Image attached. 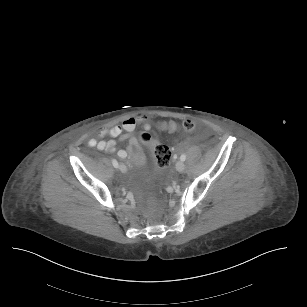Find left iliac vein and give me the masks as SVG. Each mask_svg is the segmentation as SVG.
Wrapping results in <instances>:
<instances>
[{"label":"left iliac vein","instance_id":"1","mask_svg":"<svg viewBox=\"0 0 307 307\" xmlns=\"http://www.w3.org/2000/svg\"><path fill=\"white\" fill-rule=\"evenodd\" d=\"M176 169L179 171V172H183L185 170V163L182 161V160H179L177 163H176Z\"/></svg>","mask_w":307,"mask_h":307}]
</instances>
